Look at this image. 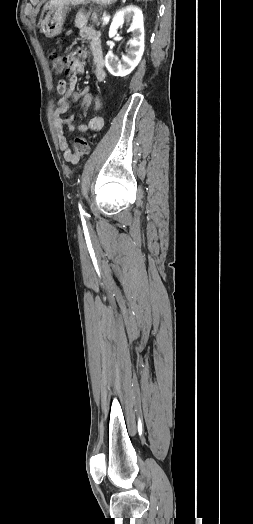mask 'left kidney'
I'll list each match as a JSON object with an SVG mask.
<instances>
[{"label": "left kidney", "instance_id": "left-kidney-1", "mask_svg": "<svg viewBox=\"0 0 253 524\" xmlns=\"http://www.w3.org/2000/svg\"><path fill=\"white\" fill-rule=\"evenodd\" d=\"M124 23L130 24L129 31L133 33V39L130 41V49L118 61L112 53L105 56V66L114 76H126L130 74L139 64L144 53V25L143 14L138 7L129 6L119 12L113 18L109 29V37L117 34L119 27Z\"/></svg>", "mask_w": 253, "mask_h": 524}]
</instances>
